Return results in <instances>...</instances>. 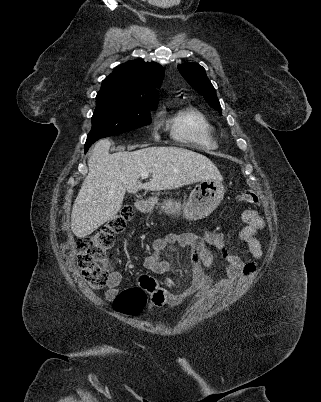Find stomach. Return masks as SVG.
Masks as SVG:
<instances>
[{
	"label": "stomach",
	"instance_id": "obj_1",
	"mask_svg": "<svg viewBox=\"0 0 321 402\" xmlns=\"http://www.w3.org/2000/svg\"><path fill=\"white\" fill-rule=\"evenodd\" d=\"M225 187L220 179H208L201 181L191 192L187 203L183 208V216L188 220H200L211 214L223 200ZM152 206H159L158 199H150ZM161 209L166 214L176 215L180 212V203L173 200H165Z\"/></svg>",
	"mask_w": 321,
	"mask_h": 402
}]
</instances>
